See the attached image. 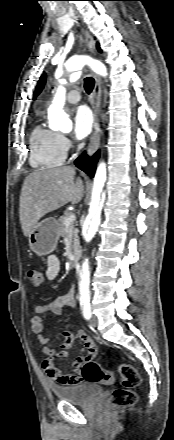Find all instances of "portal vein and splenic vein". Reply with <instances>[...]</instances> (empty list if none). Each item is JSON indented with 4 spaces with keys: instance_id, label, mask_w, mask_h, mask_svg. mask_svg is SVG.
<instances>
[{
    "instance_id": "portal-vein-and-splenic-vein-1",
    "label": "portal vein and splenic vein",
    "mask_w": 174,
    "mask_h": 440,
    "mask_svg": "<svg viewBox=\"0 0 174 440\" xmlns=\"http://www.w3.org/2000/svg\"><path fill=\"white\" fill-rule=\"evenodd\" d=\"M75 219H76L75 214L71 213V214L65 219V221H64V225H65L66 227L72 225V224L74 223Z\"/></svg>"
}]
</instances>
